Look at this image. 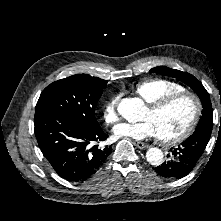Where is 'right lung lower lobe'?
Instances as JSON below:
<instances>
[{"mask_svg":"<svg viewBox=\"0 0 221 221\" xmlns=\"http://www.w3.org/2000/svg\"><path fill=\"white\" fill-rule=\"evenodd\" d=\"M34 125L44 157L68 181L90 178L112 151L110 145H99L108 138L100 126H86L51 109L36 108Z\"/></svg>","mask_w":221,"mask_h":221,"instance_id":"right-lung-lower-lobe-1","label":"right lung lower lobe"}]
</instances>
